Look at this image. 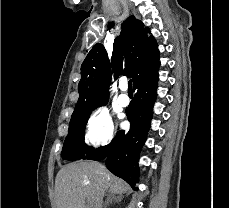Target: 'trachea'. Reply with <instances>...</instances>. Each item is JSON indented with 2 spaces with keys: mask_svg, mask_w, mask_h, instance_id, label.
I'll return each instance as SVG.
<instances>
[{
  "mask_svg": "<svg viewBox=\"0 0 229 208\" xmlns=\"http://www.w3.org/2000/svg\"><path fill=\"white\" fill-rule=\"evenodd\" d=\"M128 91H133L132 80L128 81Z\"/></svg>",
  "mask_w": 229,
  "mask_h": 208,
  "instance_id": "3493384b",
  "label": "trachea"
}]
</instances>
